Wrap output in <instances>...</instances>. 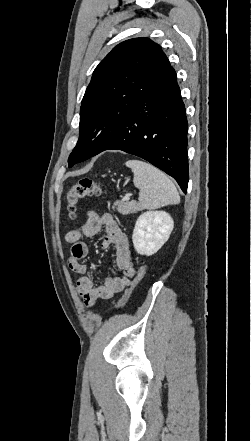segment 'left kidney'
I'll return each instance as SVG.
<instances>
[{
	"instance_id": "obj_1",
	"label": "left kidney",
	"mask_w": 251,
	"mask_h": 441,
	"mask_svg": "<svg viewBox=\"0 0 251 441\" xmlns=\"http://www.w3.org/2000/svg\"><path fill=\"white\" fill-rule=\"evenodd\" d=\"M174 221L165 211H146L135 224L132 241L140 255L155 254L169 239Z\"/></svg>"
}]
</instances>
